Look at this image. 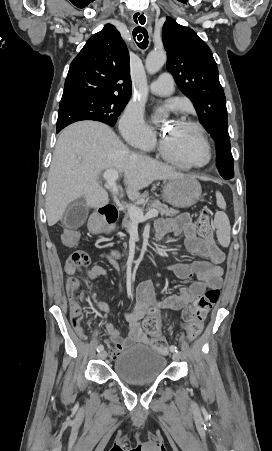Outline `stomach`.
<instances>
[{
	"label": "stomach",
	"instance_id": "obj_1",
	"mask_svg": "<svg viewBox=\"0 0 272 451\" xmlns=\"http://www.w3.org/2000/svg\"><path fill=\"white\" fill-rule=\"evenodd\" d=\"M202 188L194 176L168 180L163 188L162 200L175 208H189L200 200Z\"/></svg>",
	"mask_w": 272,
	"mask_h": 451
}]
</instances>
